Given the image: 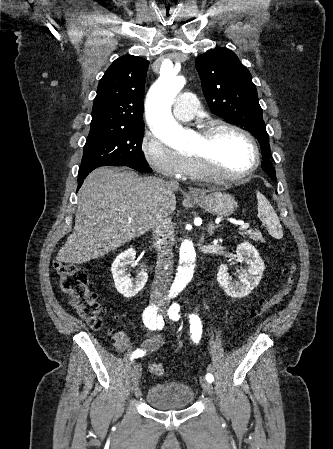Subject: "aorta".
Segmentation results:
<instances>
[{"label": "aorta", "mask_w": 333, "mask_h": 449, "mask_svg": "<svg viewBox=\"0 0 333 449\" xmlns=\"http://www.w3.org/2000/svg\"><path fill=\"white\" fill-rule=\"evenodd\" d=\"M184 86V78L178 76L173 66H162L159 79L150 88L146 101V120L152 132L174 149L189 147V136L174 120L171 106L175 96ZM179 264L173 282L175 292L182 291L193 277L196 253L192 240L180 237Z\"/></svg>", "instance_id": "aorta-1"}]
</instances>
